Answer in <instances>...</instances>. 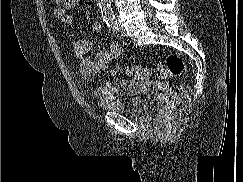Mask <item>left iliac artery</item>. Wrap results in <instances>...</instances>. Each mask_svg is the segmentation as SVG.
Returning a JSON list of instances; mask_svg holds the SVG:
<instances>
[{"mask_svg":"<svg viewBox=\"0 0 243 182\" xmlns=\"http://www.w3.org/2000/svg\"><path fill=\"white\" fill-rule=\"evenodd\" d=\"M109 26H110V28L112 29V31H113L114 33H117V32H118V30H119V25H118L117 22H113V23H111Z\"/></svg>","mask_w":243,"mask_h":182,"instance_id":"left-iliac-artery-1","label":"left iliac artery"}]
</instances>
